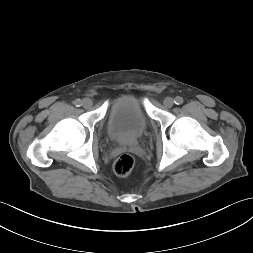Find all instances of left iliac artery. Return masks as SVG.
<instances>
[{"instance_id": "1", "label": "left iliac artery", "mask_w": 253, "mask_h": 253, "mask_svg": "<svg viewBox=\"0 0 253 253\" xmlns=\"http://www.w3.org/2000/svg\"><path fill=\"white\" fill-rule=\"evenodd\" d=\"M175 104L180 105L183 103V98L180 96H177L174 100Z\"/></svg>"}]
</instances>
